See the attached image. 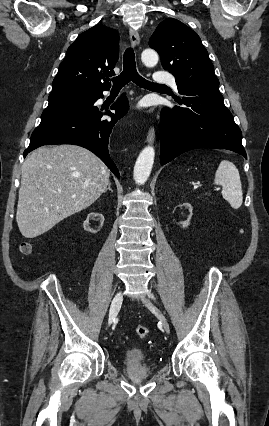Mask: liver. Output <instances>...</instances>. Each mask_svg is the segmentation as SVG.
Listing matches in <instances>:
<instances>
[{
  "mask_svg": "<svg viewBox=\"0 0 269 426\" xmlns=\"http://www.w3.org/2000/svg\"><path fill=\"white\" fill-rule=\"evenodd\" d=\"M21 175L16 221L24 237L35 238L92 205L110 172L89 150L62 144L34 150Z\"/></svg>",
  "mask_w": 269,
  "mask_h": 426,
  "instance_id": "liver-1",
  "label": "liver"
}]
</instances>
